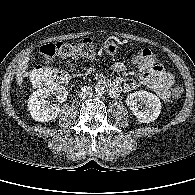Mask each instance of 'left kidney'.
<instances>
[{
    "label": "left kidney",
    "instance_id": "obj_1",
    "mask_svg": "<svg viewBox=\"0 0 195 195\" xmlns=\"http://www.w3.org/2000/svg\"><path fill=\"white\" fill-rule=\"evenodd\" d=\"M145 104L144 110H139L137 103ZM126 104L132 110L134 116L140 123H149L157 119L161 112L160 99L147 91H137L131 93L126 98Z\"/></svg>",
    "mask_w": 195,
    "mask_h": 195
}]
</instances>
